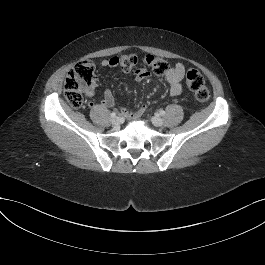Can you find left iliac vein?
<instances>
[{"instance_id":"4c4485c4","label":"left iliac vein","mask_w":265,"mask_h":265,"mask_svg":"<svg viewBox=\"0 0 265 265\" xmlns=\"http://www.w3.org/2000/svg\"><path fill=\"white\" fill-rule=\"evenodd\" d=\"M154 126L160 127L163 125V119L159 116H154L151 119Z\"/></svg>"}]
</instances>
